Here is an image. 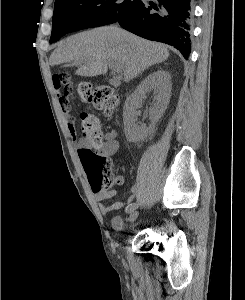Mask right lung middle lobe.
<instances>
[{
	"label": "right lung middle lobe",
	"mask_w": 245,
	"mask_h": 300,
	"mask_svg": "<svg viewBox=\"0 0 245 300\" xmlns=\"http://www.w3.org/2000/svg\"><path fill=\"white\" fill-rule=\"evenodd\" d=\"M141 0H58L54 5L52 35L50 43L57 41L59 32L55 27L58 20L73 22L80 29L98 27L117 22L133 10Z\"/></svg>",
	"instance_id": "right-lung-middle-lobe-1"
}]
</instances>
